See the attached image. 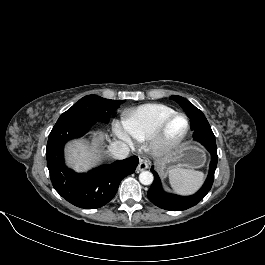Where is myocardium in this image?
Wrapping results in <instances>:
<instances>
[{"label":"myocardium","mask_w":265,"mask_h":265,"mask_svg":"<svg viewBox=\"0 0 265 265\" xmlns=\"http://www.w3.org/2000/svg\"><path fill=\"white\" fill-rule=\"evenodd\" d=\"M180 116L185 120V128L184 131L175 139L169 140L166 138L165 133L166 129L171 122V120L176 117ZM190 129V122L189 118L186 114L178 111H173L167 116H165L157 125L153 133L148 138L149 146L152 150L158 153H167L175 148H177L186 138Z\"/></svg>","instance_id":"1"}]
</instances>
